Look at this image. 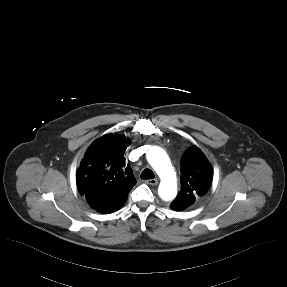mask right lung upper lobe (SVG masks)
<instances>
[{
  "instance_id": "right-lung-upper-lobe-1",
  "label": "right lung upper lobe",
  "mask_w": 287,
  "mask_h": 287,
  "mask_svg": "<svg viewBox=\"0 0 287 287\" xmlns=\"http://www.w3.org/2000/svg\"><path fill=\"white\" fill-rule=\"evenodd\" d=\"M129 144L124 136L107 134L89 147L77 172V186L85 198L129 193L136 184L124 158Z\"/></svg>"
}]
</instances>
